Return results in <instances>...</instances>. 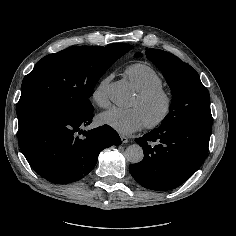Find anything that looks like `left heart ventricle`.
<instances>
[{
	"mask_svg": "<svg viewBox=\"0 0 236 236\" xmlns=\"http://www.w3.org/2000/svg\"><path fill=\"white\" fill-rule=\"evenodd\" d=\"M132 106L139 109L145 120V123L156 119L163 110V104L161 101H156L154 103L144 105L138 101L137 96L135 97Z\"/></svg>",
	"mask_w": 236,
	"mask_h": 236,
	"instance_id": "1",
	"label": "left heart ventricle"
}]
</instances>
